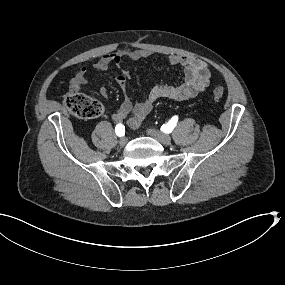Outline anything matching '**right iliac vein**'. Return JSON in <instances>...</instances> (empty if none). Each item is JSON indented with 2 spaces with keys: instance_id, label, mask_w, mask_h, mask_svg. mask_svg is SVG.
I'll use <instances>...</instances> for the list:
<instances>
[{
  "instance_id": "1",
  "label": "right iliac vein",
  "mask_w": 285,
  "mask_h": 285,
  "mask_svg": "<svg viewBox=\"0 0 285 285\" xmlns=\"http://www.w3.org/2000/svg\"><path fill=\"white\" fill-rule=\"evenodd\" d=\"M127 142H128L127 138H126V137H123V138L120 139L119 145H120L121 147H124V146L127 145Z\"/></svg>"
}]
</instances>
